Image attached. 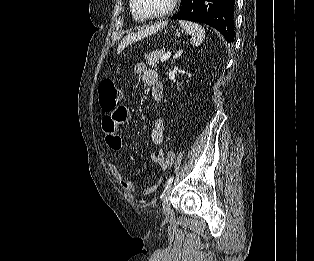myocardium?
<instances>
[{
	"instance_id": "obj_1",
	"label": "myocardium",
	"mask_w": 314,
	"mask_h": 261,
	"mask_svg": "<svg viewBox=\"0 0 314 261\" xmlns=\"http://www.w3.org/2000/svg\"><path fill=\"white\" fill-rule=\"evenodd\" d=\"M179 0H170L168 6L163 9L162 11L153 13V14H144L142 13L138 7H137V3L136 0H131L132 3V9L135 12V14L141 18V19H155V18H161L164 16L169 15L177 6Z\"/></svg>"
}]
</instances>
